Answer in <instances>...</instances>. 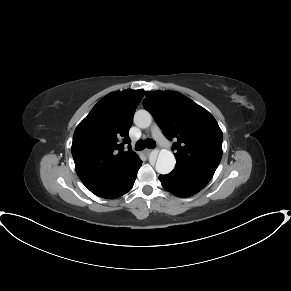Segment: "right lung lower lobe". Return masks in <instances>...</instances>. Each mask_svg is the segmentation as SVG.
<instances>
[{"instance_id":"1","label":"right lung lower lobe","mask_w":291,"mask_h":291,"mask_svg":"<svg viewBox=\"0 0 291 291\" xmlns=\"http://www.w3.org/2000/svg\"><path fill=\"white\" fill-rule=\"evenodd\" d=\"M141 164L142 161L139 159L134 167L116 183L107 187H102L91 191L99 197L108 199H114L127 193L134 185L137 172Z\"/></svg>"}]
</instances>
